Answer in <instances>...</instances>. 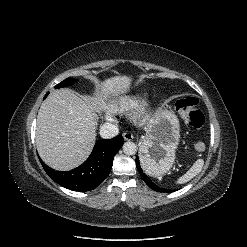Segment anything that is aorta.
Listing matches in <instances>:
<instances>
[{
    "label": "aorta",
    "instance_id": "1",
    "mask_svg": "<svg viewBox=\"0 0 247 247\" xmlns=\"http://www.w3.org/2000/svg\"><path fill=\"white\" fill-rule=\"evenodd\" d=\"M137 151V146L133 142H125L123 144V152L127 155H134Z\"/></svg>",
    "mask_w": 247,
    "mask_h": 247
}]
</instances>
